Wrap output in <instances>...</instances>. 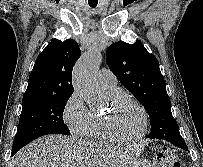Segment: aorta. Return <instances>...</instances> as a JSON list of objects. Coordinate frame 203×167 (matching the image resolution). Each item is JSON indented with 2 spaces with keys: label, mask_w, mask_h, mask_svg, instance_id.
<instances>
[{
  "label": "aorta",
  "mask_w": 203,
  "mask_h": 167,
  "mask_svg": "<svg viewBox=\"0 0 203 167\" xmlns=\"http://www.w3.org/2000/svg\"><path fill=\"white\" fill-rule=\"evenodd\" d=\"M100 62V52L96 49H91L79 59L74 67V90L89 104L96 102L99 96L95 74Z\"/></svg>",
  "instance_id": "762f6f07"
}]
</instances>
